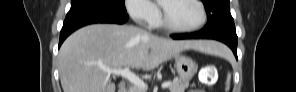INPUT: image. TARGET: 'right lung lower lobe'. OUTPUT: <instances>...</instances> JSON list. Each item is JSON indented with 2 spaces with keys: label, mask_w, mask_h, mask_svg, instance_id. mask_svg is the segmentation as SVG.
Segmentation results:
<instances>
[{
  "label": "right lung lower lobe",
  "mask_w": 296,
  "mask_h": 92,
  "mask_svg": "<svg viewBox=\"0 0 296 92\" xmlns=\"http://www.w3.org/2000/svg\"><path fill=\"white\" fill-rule=\"evenodd\" d=\"M127 12H118L98 5H78L70 8L60 32L59 47L72 32L94 23L123 24L128 20Z\"/></svg>",
  "instance_id": "right-lung-lower-lobe-1"
}]
</instances>
